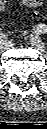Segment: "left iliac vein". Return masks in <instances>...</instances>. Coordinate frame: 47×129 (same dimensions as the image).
Segmentation results:
<instances>
[{"label": "left iliac vein", "mask_w": 47, "mask_h": 129, "mask_svg": "<svg viewBox=\"0 0 47 129\" xmlns=\"http://www.w3.org/2000/svg\"><path fill=\"white\" fill-rule=\"evenodd\" d=\"M30 45L33 48L39 50L43 56H46L45 46L39 37H37V36L31 37Z\"/></svg>", "instance_id": "left-iliac-vein-1"}]
</instances>
